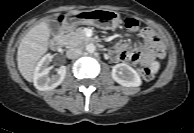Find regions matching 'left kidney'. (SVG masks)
<instances>
[{"mask_svg": "<svg viewBox=\"0 0 194 133\" xmlns=\"http://www.w3.org/2000/svg\"><path fill=\"white\" fill-rule=\"evenodd\" d=\"M111 76L115 82L124 87H138L142 83L139 74L125 63L113 66Z\"/></svg>", "mask_w": 194, "mask_h": 133, "instance_id": "5707ae66", "label": "left kidney"}]
</instances>
